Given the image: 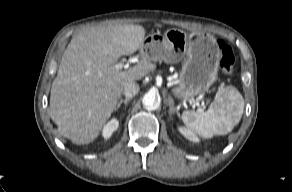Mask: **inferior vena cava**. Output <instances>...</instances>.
<instances>
[{
	"instance_id": "602c4592",
	"label": "inferior vena cava",
	"mask_w": 292,
	"mask_h": 192,
	"mask_svg": "<svg viewBox=\"0 0 292 192\" xmlns=\"http://www.w3.org/2000/svg\"><path fill=\"white\" fill-rule=\"evenodd\" d=\"M139 92V86L136 83H126L123 94L126 98H132Z\"/></svg>"
}]
</instances>
